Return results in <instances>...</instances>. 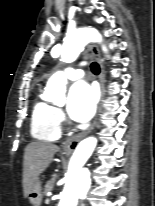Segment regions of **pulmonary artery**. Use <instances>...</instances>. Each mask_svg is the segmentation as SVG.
I'll return each mask as SVG.
<instances>
[{
	"label": "pulmonary artery",
	"mask_w": 155,
	"mask_h": 206,
	"mask_svg": "<svg viewBox=\"0 0 155 206\" xmlns=\"http://www.w3.org/2000/svg\"><path fill=\"white\" fill-rule=\"evenodd\" d=\"M85 65L82 63V64H80L78 67H76V68H70V67H68V68H66L65 70H64V73H65V75H66V77L68 78V79H71V80H75V79H78V78H80V77H82L83 76V67H84Z\"/></svg>",
	"instance_id": "pulmonary-artery-1"
}]
</instances>
